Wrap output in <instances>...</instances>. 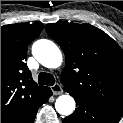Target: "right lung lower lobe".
Segmentation results:
<instances>
[{
	"label": "right lung lower lobe",
	"instance_id": "98d812e1",
	"mask_svg": "<svg viewBox=\"0 0 123 123\" xmlns=\"http://www.w3.org/2000/svg\"><path fill=\"white\" fill-rule=\"evenodd\" d=\"M51 95H52V91L50 88H48V90L45 93L44 98L42 99L39 106L44 104L49 99V97ZM39 106H37L30 114H28L26 117H24L19 123H34V119L36 117V113H37Z\"/></svg>",
	"mask_w": 123,
	"mask_h": 123
}]
</instances>
